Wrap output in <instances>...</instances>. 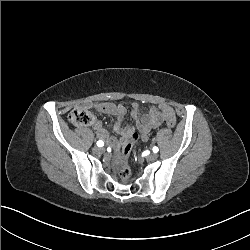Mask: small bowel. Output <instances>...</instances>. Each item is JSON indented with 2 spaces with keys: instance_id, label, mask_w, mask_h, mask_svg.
<instances>
[{
  "instance_id": "c3829d8e",
  "label": "small bowel",
  "mask_w": 250,
  "mask_h": 250,
  "mask_svg": "<svg viewBox=\"0 0 250 250\" xmlns=\"http://www.w3.org/2000/svg\"><path fill=\"white\" fill-rule=\"evenodd\" d=\"M77 108L93 109L115 117V132L118 138L111 136L101 122H94L97 137L110 144L113 148H120L124 142L131 138L134 132L131 127L123 123L126 114V107L124 105H115L107 102H82L77 105ZM131 116L136 121L138 134L142 140L148 139L152 129L162 124L173 127L176 122L173 108L167 103H161L158 106L152 107L146 113H143L139 105L134 103L132 105Z\"/></svg>"
}]
</instances>
